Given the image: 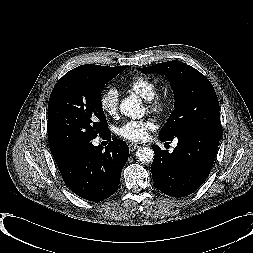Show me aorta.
I'll use <instances>...</instances> for the list:
<instances>
[{
	"instance_id": "762f6f07",
	"label": "aorta",
	"mask_w": 253,
	"mask_h": 253,
	"mask_svg": "<svg viewBox=\"0 0 253 253\" xmlns=\"http://www.w3.org/2000/svg\"><path fill=\"white\" fill-rule=\"evenodd\" d=\"M120 111L127 117L141 118L144 115L142 100L135 95H131L122 101ZM136 157L141 163L148 164L153 161L154 151L150 147H140L136 152Z\"/></svg>"
}]
</instances>
